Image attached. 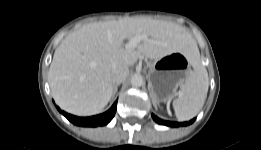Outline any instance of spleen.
Here are the masks:
<instances>
[{"instance_id": "spleen-1", "label": "spleen", "mask_w": 261, "mask_h": 150, "mask_svg": "<svg viewBox=\"0 0 261 150\" xmlns=\"http://www.w3.org/2000/svg\"><path fill=\"white\" fill-rule=\"evenodd\" d=\"M191 64L194 70L190 72L181 85L172 105L179 121L190 120L202 109L207 98L209 78L206 68L201 64L198 47L191 49Z\"/></svg>"}]
</instances>
